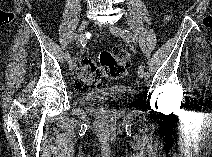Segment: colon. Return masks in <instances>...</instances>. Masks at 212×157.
<instances>
[{
	"mask_svg": "<svg viewBox=\"0 0 212 157\" xmlns=\"http://www.w3.org/2000/svg\"><path fill=\"white\" fill-rule=\"evenodd\" d=\"M129 64L130 57L126 50L122 48L104 50L100 53L99 65L89 60L80 69L76 88L78 91H84L90 87L100 86L103 79H121L126 74Z\"/></svg>",
	"mask_w": 212,
	"mask_h": 157,
	"instance_id": "obj_1",
	"label": "colon"
}]
</instances>
